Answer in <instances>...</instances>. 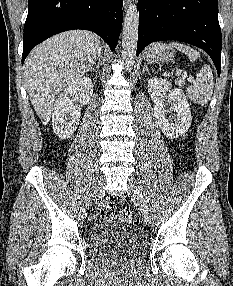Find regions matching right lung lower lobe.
Masks as SVG:
<instances>
[{
	"label": "right lung lower lobe",
	"instance_id": "obj_1",
	"mask_svg": "<svg viewBox=\"0 0 233 286\" xmlns=\"http://www.w3.org/2000/svg\"><path fill=\"white\" fill-rule=\"evenodd\" d=\"M123 0H28L22 64L37 44L63 31L90 30L114 50L121 32Z\"/></svg>",
	"mask_w": 233,
	"mask_h": 286
}]
</instances>
